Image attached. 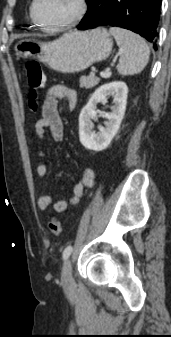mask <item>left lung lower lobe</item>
Masks as SVG:
<instances>
[{
    "mask_svg": "<svg viewBox=\"0 0 171 337\" xmlns=\"http://www.w3.org/2000/svg\"><path fill=\"white\" fill-rule=\"evenodd\" d=\"M162 0H92L77 29L102 25L129 29L154 43L158 36Z\"/></svg>",
    "mask_w": 171,
    "mask_h": 337,
    "instance_id": "obj_1",
    "label": "left lung lower lobe"
}]
</instances>
